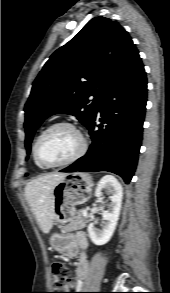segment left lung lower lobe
<instances>
[{
	"mask_svg": "<svg viewBox=\"0 0 170 293\" xmlns=\"http://www.w3.org/2000/svg\"><path fill=\"white\" fill-rule=\"evenodd\" d=\"M146 101V73L134 46L109 81L87 127L92 139L87 154L61 172L109 171L128 184L137 166Z\"/></svg>",
	"mask_w": 170,
	"mask_h": 293,
	"instance_id": "left-lung-lower-lobe-1",
	"label": "left lung lower lobe"
}]
</instances>
